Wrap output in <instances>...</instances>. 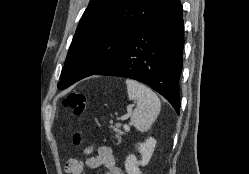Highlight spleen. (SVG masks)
Listing matches in <instances>:
<instances>
[{"label": "spleen", "mask_w": 249, "mask_h": 174, "mask_svg": "<svg viewBox=\"0 0 249 174\" xmlns=\"http://www.w3.org/2000/svg\"><path fill=\"white\" fill-rule=\"evenodd\" d=\"M126 85L128 98L136 101L131 121L137 130L145 132L160 113V99L150 88L137 81L127 79Z\"/></svg>", "instance_id": "3e777b00"}]
</instances>
